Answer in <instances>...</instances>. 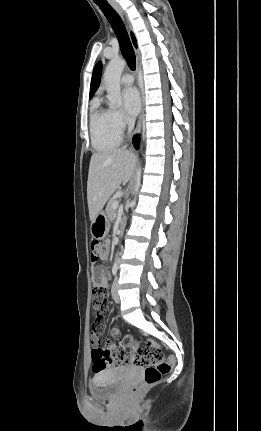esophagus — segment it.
<instances>
[{
  "label": "esophagus",
  "mask_w": 261,
  "mask_h": 431,
  "mask_svg": "<svg viewBox=\"0 0 261 431\" xmlns=\"http://www.w3.org/2000/svg\"><path fill=\"white\" fill-rule=\"evenodd\" d=\"M112 6L122 17H124V13L118 4L112 3ZM136 71L139 72V62H137ZM140 101H141V110H140V115L138 118L137 126L135 129V133H140L141 128H142V124H143V119H144L145 97H144V91L141 87H140Z\"/></svg>",
  "instance_id": "obj_1"
}]
</instances>
